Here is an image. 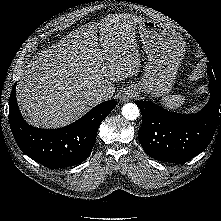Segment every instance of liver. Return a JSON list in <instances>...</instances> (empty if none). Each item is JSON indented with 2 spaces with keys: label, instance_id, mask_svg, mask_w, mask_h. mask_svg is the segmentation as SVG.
Masks as SVG:
<instances>
[{
  "label": "liver",
  "instance_id": "1",
  "mask_svg": "<svg viewBox=\"0 0 221 221\" xmlns=\"http://www.w3.org/2000/svg\"><path fill=\"white\" fill-rule=\"evenodd\" d=\"M135 22L138 19L129 14L111 15L100 24L81 26L38 53L24 67L16 86L26 121L59 128L99 103L91 95L95 90H105L111 98L113 83L135 75L140 67Z\"/></svg>",
  "mask_w": 221,
  "mask_h": 221
}]
</instances>
